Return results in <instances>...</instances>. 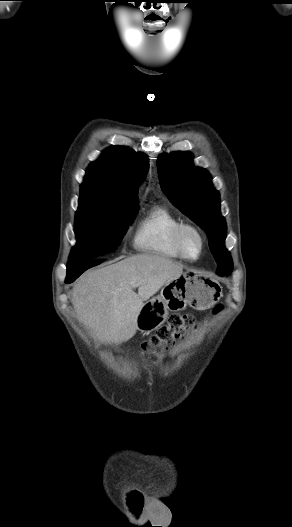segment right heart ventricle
Wrapping results in <instances>:
<instances>
[{
    "instance_id": "obj_1",
    "label": "right heart ventricle",
    "mask_w": 292,
    "mask_h": 527,
    "mask_svg": "<svg viewBox=\"0 0 292 527\" xmlns=\"http://www.w3.org/2000/svg\"><path fill=\"white\" fill-rule=\"evenodd\" d=\"M182 219L164 205H154L138 222L134 247L141 252L171 259H181L174 243V233Z\"/></svg>"
}]
</instances>
